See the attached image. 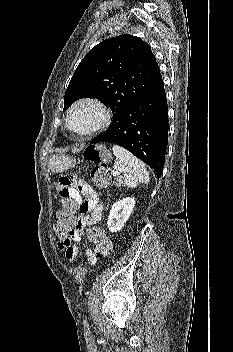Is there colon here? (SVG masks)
Here are the masks:
<instances>
[{"instance_id": "1", "label": "colon", "mask_w": 233, "mask_h": 352, "mask_svg": "<svg viewBox=\"0 0 233 352\" xmlns=\"http://www.w3.org/2000/svg\"><path fill=\"white\" fill-rule=\"evenodd\" d=\"M83 156L86 161L94 164L91 171L94 184L98 187H106L110 182L109 163L111 162V154L103 146L90 145L84 150ZM74 213L73 202L65 199L55 214L54 228L62 243L67 242L69 233L76 225ZM88 238L93 244L94 252L98 258H106L110 255L112 244L103 228L99 226L91 227L88 230Z\"/></svg>"}]
</instances>
